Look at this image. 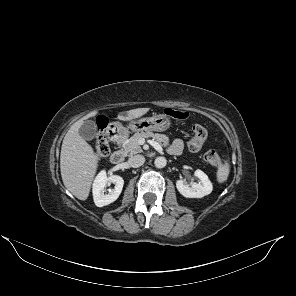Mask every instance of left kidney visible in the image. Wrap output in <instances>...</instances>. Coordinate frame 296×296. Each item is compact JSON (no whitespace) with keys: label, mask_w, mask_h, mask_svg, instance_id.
<instances>
[{"label":"left kidney","mask_w":296,"mask_h":296,"mask_svg":"<svg viewBox=\"0 0 296 296\" xmlns=\"http://www.w3.org/2000/svg\"><path fill=\"white\" fill-rule=\"evenodd\" d=\"M194 175L200 180L199 183L187 184L183 179L176 181V188L181 195L186 198H202L212 192V183L208 176L201 170L197 169Z\"/></svg>","instance_id":"left-kidney-1"}]
</instances>
